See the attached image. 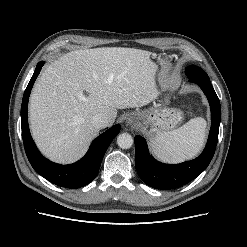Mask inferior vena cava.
I'll return each instance as SVG.
<instances>
[{"mask_svg":"<svg viewBox=\"0 0 247 247\" xmlns=\"http://www.w3.org/2000/svg\"><path fill=\"white\" fill-rule=\"evenodd\" d=\"M92 125L97 128V129H103L106 128L109 124L108 118L102 114H96L92 119H91Z\"/></svg>","mask_w":247,"mask_h":247,"instance_id":"inferior-vena-cava-1","label":"inferior vena cava"}]
</instances>
